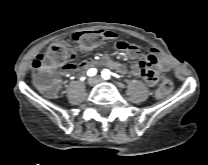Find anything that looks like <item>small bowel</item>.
<instances>
[{"label": "small bowel", "mask_w": 208, "mask_h": 165, "mask_svg": "<svg viewBox=\"0 0 208 165\" xmlns=\"http://www.w3.org/2000/svg\"><path fill=\"white\" fill-rule=\"evenodd\" d=\"M102 38L105 40H115L117 38L116 32L112 30H100ZM113 49L118 52L126 54L132 59H136L141 55L139 48L127 41H118L115 43ZM143 60L133 64L130 67V73L134 76L142 78L147 84L155 85L158 82V76L160 72L166 71L170 67V61L166 58H162L158 55L157 50L151 49L143 54ZM104 64L115 69L119 73H126V67L116 61L109 58L103 60ZM96 59L94 57L82 58L80 63L74 61H67L60 65V72L62 74H78L82 69H91L96 66Z\"/></svg>", "instance_id": "1"}]
</instances>
